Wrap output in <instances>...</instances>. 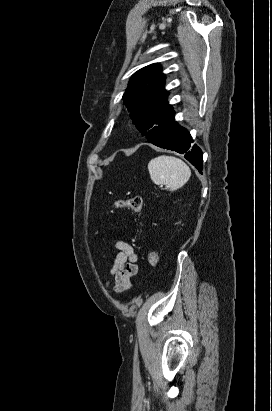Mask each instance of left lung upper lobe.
<instances>
[{
  "instance_id": "obj_1",
  "label": "left lung upper lobe",
  "mask_w": 272,
  "mask_h": 411,
  "mask_svg": "<svg viewBox=\"0 0 272 411\" xmlns=\"http://www.w3.org/2000/svg\"><path fill=\"white\" fill-rule=\"evenodd\" d=\"M161 71L157 63L138 70L123 95L133 123L147 138L174 117V110L167 103L165 75Z\"/></svg>"
}]
</instances>
